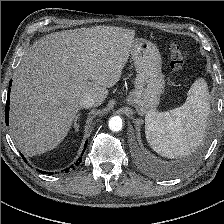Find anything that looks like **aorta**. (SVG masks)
I'll list each match as a JSON object with an SVG mask.
<instances>
[{
	"instance_id": "762f6f07",
	"label": "aorta",
	"mask_w": 224,
	"mask_h": 224,
	"mask_svg": "<svg viewBox=\"0 0 224 224\" xmlns=\"http://www.w3.org/2000/svg\"><path fill=\"white\" fill-rule=\"evenodd\" d=\"M109 128L112 131L118 132L122 129V119L119 116H114L109 120Z\"/></svg>"
}]
</instances>
